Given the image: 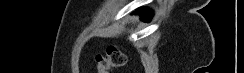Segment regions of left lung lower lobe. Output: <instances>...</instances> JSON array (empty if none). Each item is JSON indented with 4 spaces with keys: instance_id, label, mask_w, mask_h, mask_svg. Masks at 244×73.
I'll list each match as a JSON object with an SVG mask.
<instances>
[{
    "instance_id": "0a47b994",
    "label": "left lung lower lobe",
    "mask_w": 244,
    "mask_h": 73,
    "mask_svg": "<svg viewBox=\"0 0 244 73\" xmlns=\"http://www.w3.org/2000/svg\"><path fill=\"white\" fill-rule=\"evenodd\" d=\"M138 11L140 12V16H141L142 20L149 21L151 19L152 12L149 9L141 8V9H138Z\"/></svg>"
}]
</instances>
